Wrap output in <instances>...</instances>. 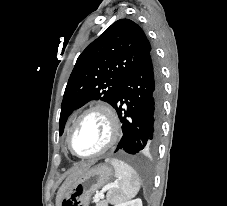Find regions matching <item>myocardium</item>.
Wrapping results in <instances>:
<instances>
[{"label":"myocardium","instance_id":"f54148a6","mask_svg":"<svg viewBox=\"0 0 227 206\" xmlns=\"http://www.w3.org/2000/svg\"><path fill=\"white\" fill-rule=\"evenodd\" d=\"M93 112H100L107 118L110 126V136L107 143L98 151L87 155H79L75 153L74 150L72 149V144H71L72 136L80 121L85 116ZM120 135H121V125H120L119 117L116 111L114 110V108L108 103L97 102L95 104L90 105L84 111H82L81 114L73 122L67 134L66 145H67L68 151L77 158H82V159L94 158L110 150L118 142Z\"/></svg>","mask_w":227,"mask_h":206}]
</instances>
